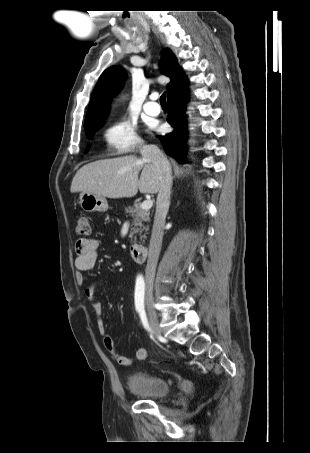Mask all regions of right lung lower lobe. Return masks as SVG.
<instances>
[{"instance_id":"98d812e1","label":"right lung lower lobe","mask_w":310,"mask_h":453,"mask_svg":"<svg viewBox=\"0 0 310 453\" xmlns=\"http://www.w3.org/2000/svg\"><path fill=\"white\" fill-rule=\"evenodd\" d=\"M186 79L178 81L168 93V123L174 130L165 135L158 136L165 152L183 163L185 152L184 143L186 142L187 122L185 114V104L187 101Z\"/></svg>"}]
</instances>
